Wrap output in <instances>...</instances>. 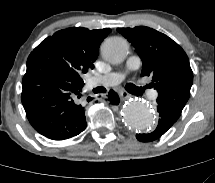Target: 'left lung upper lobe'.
Here are the masks:
<instances>
[{
    "label": "left lung upper lobe",
    "instance_id": "left-lung-upper-lobe-1",
    "mask_svg": "<svg viewBox=\"0 0 215 183\" xmlns=\"http://www.w3.org/2000/svg\"><path fill=\"white\" fill-rule=\"evenodd\" d=\"M135 47L142 59V76H151L158 91L157 103L180 116L193 82V73L184 50L171 38L154 29L138 26L117 29Z\"/></svg>",
    "mask_w": 215,
    "mask_h": 183
}]
</instances>
